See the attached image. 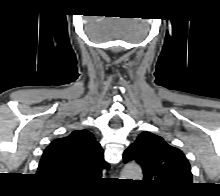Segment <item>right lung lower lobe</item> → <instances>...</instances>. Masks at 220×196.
Segmentation results:
<instances>
[{
  "instance_id": "obj_1",
  "label": "right lung lower lobe",
  "mask_w": 220,
  "mask_h": 196,
  "mask_svg": "<svg viewBox=\"0 0 220 196\" xmlns=\"http://www.w3.org/2000/svg\"><path fill=\"white\" fill-rule=\"evenodd\" d=\"M54 185H56V186H64V185H57V184H54Z\"/></svg>"
}]
</instances>
